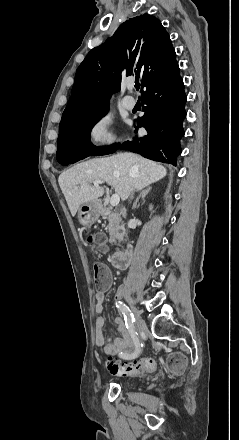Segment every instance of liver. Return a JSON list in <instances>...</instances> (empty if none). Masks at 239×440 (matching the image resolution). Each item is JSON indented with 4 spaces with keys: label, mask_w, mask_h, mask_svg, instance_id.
<instances>
[{
    "label": "liver",
    "mask_w": 239,
    "mask_h": 440,
    "mask_svg": "<svg viewBox=\"0 0 239 440\" xmlns=\"http://www.w3.org/2000/svg\"><path fill=\"white\" fill-rule=\"evenodd\" d=\"M164 176V166L138 154L124 152L77 164L60 174L58 182L72 216H76L81 204L97 200L104 194V188L90 186L89 182H108L121 200H127L133 190H143L146 186L159 182Z\"/></svg>",
    "instance_id": "1"
}]
</instances>
